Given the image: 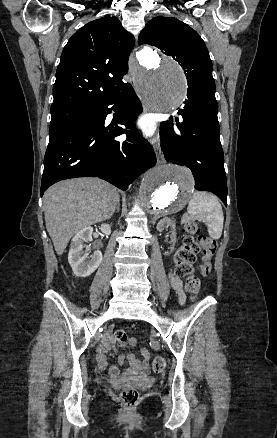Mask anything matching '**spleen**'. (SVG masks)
<instances>
[{"mask_svg": "<svg viewBox=\"0 0 277 438\" xmlns=\"http://www.w3.org/2000/svg\"><path fill=\"white\" fill-rule=\"evenodd\" d=\"M187 212L195 220H204L210 238H221L224 216L222 206L215 196L209 192H194Z\"/></svg>", "mask_w": 277, "mask_h": 438, "instance_id": "1", "label": "spleen"}]
</instances>
